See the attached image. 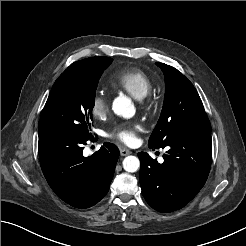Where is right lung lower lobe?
Segmentation results:
<instances>
[{
  "instance_id": "obj_1",
  "label": "right lung lower lobe",
  "mask_w": 246,
  "mask_h": 246,
  "mask_svg": "<svg viewBox=\"0 0 246 246\" xmlns=\"http://www.w3.org/2000/svg\"><path fill=\"white\" fill-rule=\"evenodd\" d=\"M89 139L73 132L39 131L43 174L56 195L76 208H89L107 194L119 157L112 143L84 157L83 145Z\"/></svg>"
}]
</instances>
